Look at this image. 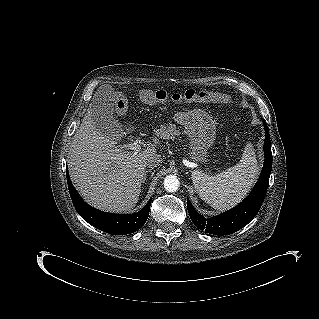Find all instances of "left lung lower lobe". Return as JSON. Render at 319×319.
I'll return each mask as SVG.
<instances>
[{"instance_id":"1","label":"left lung lower lobe","mask_w":319,"mask_h":319,"mask_svg":"<svg viewBox=\"0 0 319 319\" xmlns=\"http://www.w3.org/2000/svg\"><path fill=\"white\" fill-rule=\"evenodd\" d=\"M265 124L264 142L265 162L261 175L251 193L236 207L216 217L206 219L199 214L187 200V208L192 222L202 231L214 235H229L246 226L258 213L269 185L272 167V152L268 127Z\"/></svg>"}]
</instances>
